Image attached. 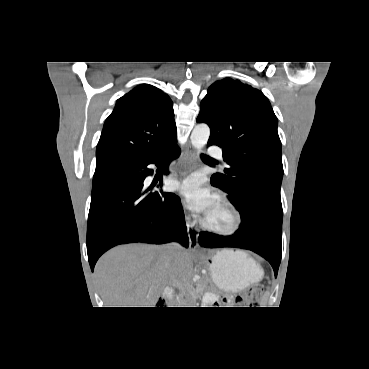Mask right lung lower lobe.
I'll return each mask as SVG.
<instances>
[{
    "instance_id": "obj_1",
    "label": "right lung lower lobe",
    "mask_w": 369,
    "mask_h": 369,
    "mask_svg": "<svg viewBox=\"0 0 369 369\" xmlns=\"http://www.w3.org/2000/svg\"><path fill=\"white\" fill-rule=\"evenodd\" d=\"M180 154L176 141L148 156L120 163L93 183L87 224V252L91 270L110 248L133 242L163 244L178 241L189 246L180 198L146 188L149 164L165 168ZM162 183L157 187H161Z\"/></svg>"
}]
</instances>
